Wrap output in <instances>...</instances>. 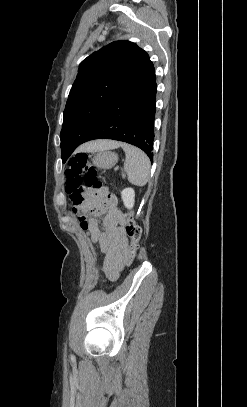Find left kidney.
Here are the masks:
<instances>
[{
	"label": "left kidney",
	"mask_w": 247,
	"mask_h": 407,
	"mask_svg": "<svg viewBox=\"0 0 247 407\" xmlns=\"http://www.w3.org/2000/svg\"><path fill=\"white\" fill-rule=\"evenodd\" d=\"M121 198L126 208L132 209L135 202V191L133 188H125L121 192Z\"/></svg>",
	"instance_id": "obj_1"
}]
</instances>
